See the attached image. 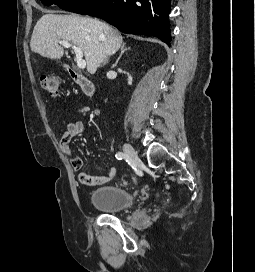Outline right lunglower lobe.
<instances>
[{"label": "right lung lower lobe", "mask_w": 255, "mask_h": 272, "mask_svg": "<svg viewBox=\"0 0 255 272\" xmlns=\"http://www.w3.org/2000/svg\"><path fill=\"white\" fill-rule=\"evenodd\" d=\"M170 6L171 0H100L86 15L102 18L124 33L155 36L170 46Z\"/></svg>", "instance_id": "98d812e1"}]
</instances>
